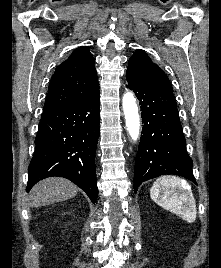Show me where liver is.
<instances>
[{"label": "liver", "mask_w": 221, "mask_h": 268, "mask_svg": "<svg viewBox=\"0 0 221 268\" xmlns=\"http://www.w3.org/2000/svg\"><path fill=\"white\" fill-rule=\"evenodd\" d=\"M77 193L78 187L67 179L59 177L47 178L31 189L28 206L40 207L66 201L75 197Z\"/></svg>", "instance_id": "1"}]
</instances>
